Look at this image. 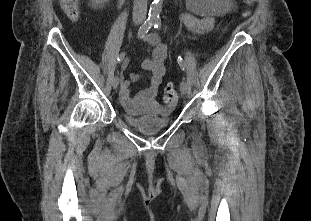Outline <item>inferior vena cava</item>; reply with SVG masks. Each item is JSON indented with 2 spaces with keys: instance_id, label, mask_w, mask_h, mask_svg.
<instances>
[{
  "instance_id": "inferior-vena-cava-1",
  "label": "inferior vena cava",
  "mask_w": 311,
  "mask_h": 221,
  "mask_svg": "<svg viewBox=\"0 0 311 221\" xmlns=\"http://www.w3.org/2000/svg\"><path fill=\"white\" fill-rule=\"evenodd\" d=\"M135 14H141V16H146L147 0H134L133 16H135Z\"/></svg>"
}]
</instances>
